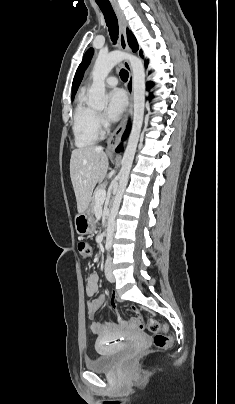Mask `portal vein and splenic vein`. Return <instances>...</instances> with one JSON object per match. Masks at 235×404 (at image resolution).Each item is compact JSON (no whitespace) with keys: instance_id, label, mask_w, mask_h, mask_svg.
Returning <instances> with one entry per match:
<instances>
[{"instance_id":"1","label":"portal vein and splenic vein","mask_w":235,"mask_h":404,"mask_svg":"<svg viewBox=\"0 0 235 404\" xmlns=\"http://www.w3.org/2000/svg\"><path fill=\"white\" fill-rule=\"evenodd\" d=\"M105 197H106V191L104 189L98 190L95 193V199L98 203L103 202L105 200Z\"/></svg>"}]
</instances>
